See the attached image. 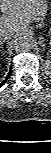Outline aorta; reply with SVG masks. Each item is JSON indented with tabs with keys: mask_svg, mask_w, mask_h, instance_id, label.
<instances>
[{
	"mask_svg": "<svg viewBox=\"0 0 51 153\" xmlns=\"http://www.w3.org/2000/svg\"><path fill=\"white\" fill-rule=\"evenodd\" d=\"M34 46V39L28 34L20 35L14 40L13 47L15 51L27 52Z\"/></svg>",
	"mask_w": 51,
	"mask_h": 153,
	"instance_id": "1",
	"label": "aorta"
}]
</instances>
